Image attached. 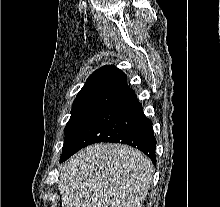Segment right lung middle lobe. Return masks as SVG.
<instances>
[{"mask_svg": "<svg viewBox=\"0 0 220 207\" xmlns=\"http://www.w3.org/2000/svg\"><path fill=\"white\" fill-rule=\"evenodd\" d=\"M101 85L102 84H93L85 86L80 90L77 97L75 98L72 105L71 117L64 129L65 141L62 148V155L66 151L72 136L88 113Z\"/></svg>", "mask_w": 220, "mask_h": 207, "instance_id": "dd1d6c3e", "label": "right lung middle lobe"}]
</instances>
